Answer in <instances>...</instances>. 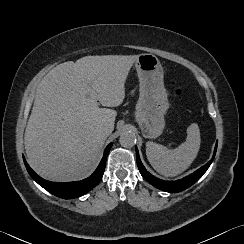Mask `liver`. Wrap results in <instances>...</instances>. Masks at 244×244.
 <instances>
[{
  "label": "liver",
  "mask_w": 244,
  "mask_h": 244,
  "mask_svg": "<svg viewBox=\"0 0 244 244\" xmlns=\"http://www.w3.org/2000/svg\"><path fill=\"white\" fill-rule=\"evenodd\" d=\"M138 55L85 56L53 68L38 86L24 135L25 152L34 171L56 181H76L96 168L117 107L125 98V81ZM85 85L95 91L91 98Z\"/></svg>",
  "instance_id": "1"
}]
</instances>
